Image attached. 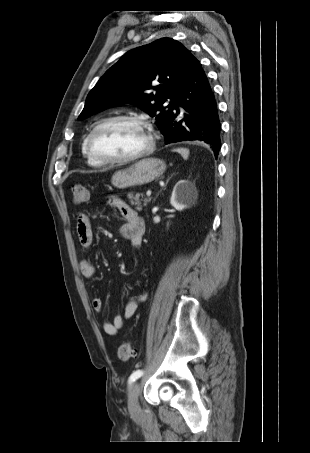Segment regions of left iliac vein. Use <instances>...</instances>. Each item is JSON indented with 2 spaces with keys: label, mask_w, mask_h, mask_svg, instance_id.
Instances as JSON below:
<instances>
[{
  "label": "left iliac vein",
  "mask_w": 310,
  "mask_h": 453,
  "mask_svg": "<svg viewBox=\"0 0 310 453\" xmlns=\"http://www.w3.org/2000/svg\"><path fill=\"white\" fill-rule=\"evenodd\" d=\"M139 391L140 389L138 383H134L129 391L128 409L132 415H137L140 412V405L138 401Z\"/></svg>",
  "instance_id": "4c4485c4"
}]
</instances>
